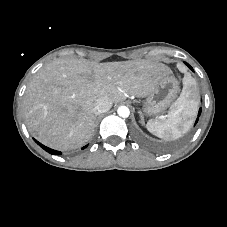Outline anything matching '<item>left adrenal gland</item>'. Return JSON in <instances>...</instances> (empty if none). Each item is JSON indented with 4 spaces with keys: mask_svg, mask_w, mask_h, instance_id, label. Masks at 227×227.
Returning <instances> with one entry per match:
<instances>
[{
    "mask_svg": "<svg viewBox=\"0 0 227 227\" xmlns=\"http://www.w3.org/2000/svg\"><path fill=\"white\" fill-rule=\"evenodd\" d=\"M139 114H140V118H141V121H140V122H141L142 124H144V123H145V122H144V117H143V115H142L141 112H139Z\"/></svg>",
    "mask_w": 227,
    "mask_h": 227,
    "instance_id": "1",
    "label": "left adrenal gland"
}]
</instances>
